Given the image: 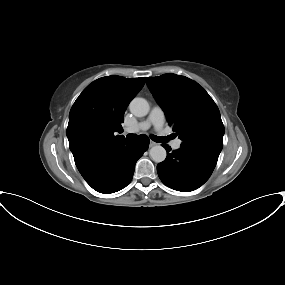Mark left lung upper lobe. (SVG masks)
<instances>
[{
	"label": "left lung upper lobe",
	"instance_id": "left-lung-upper-lobe-1",
	"mask_svg": "<svg viewBox=\"0 0 285 285\" xmlns=\"http://www.w3.org/2000/svg\"><path fill=\"white\" fill-rule=\"evenodd\" d=\"M146 82L182 146L220 154L224 126L217 105L203 87L171 73L148 77Z\"/></svg>",
	"mask_w": 285,
	"mask_h": 285
}]
</instances>
